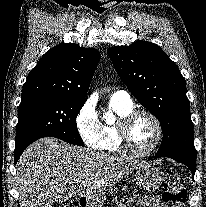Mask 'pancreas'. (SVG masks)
<instances>
[{
	"mask_svg": "<svg viewBox=\"0 0 206 207\" xmlns=\"http://www.w3.org/2000/svg\"><path fill=\"white\" fill-rule=\"evenodd\" d=\"M115 201H117L118 202V199L117 198H115ZM124 200H121L120 201V204L117 206V207H126V205H129L130 203L129 202H125Z\"/></svg>",
	"mask_w": 206,
	"mask_h": 207,
	"instance_id": "pancreas-1",
	"label": "pancreas"
}]
</instances>
